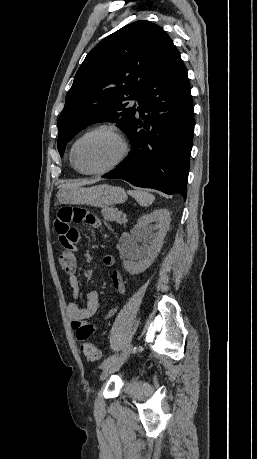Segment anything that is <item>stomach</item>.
Instances as JSON below:
<instances>
[{"label": "stomach", "instance_id": "1", "mask_svg": "<svg viewBox=\"0 0 257 459\" xmlns=\"http://www.w3.org/2000/svg\"><path fill=\"white\" fill-rule=\"evenodd\" d=\"M57 199L62 204H87L103 208L125 202L127 195L121 187L102 184L92 187L77 186L60 189Z\"/></svg>", "mask_w": 257, "mask_h": 459}]
</instances>
